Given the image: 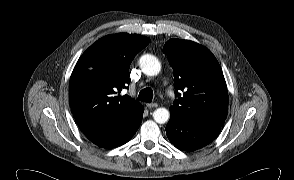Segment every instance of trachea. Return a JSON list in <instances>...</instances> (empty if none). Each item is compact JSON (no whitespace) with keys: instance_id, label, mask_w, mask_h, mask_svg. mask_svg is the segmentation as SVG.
Returning a JSON list of instances; mask_svg holds the SVG:
<instances>
[{"instance_id":"obj_1","label":"trachea","mask_w":294,"mask_h":180,"mask_svg":"<svg viewBox=\"0 0 294 180\" xmlns=\"http://www.w3.org/2000/svg\"><path fill=\"white\" fill-rule=\"evenodd\" d=\"M153 99V91L151 88L147 87L140 91L138 95V100L151 103Z\"/></svg>"}]
</instances>
